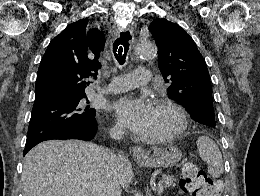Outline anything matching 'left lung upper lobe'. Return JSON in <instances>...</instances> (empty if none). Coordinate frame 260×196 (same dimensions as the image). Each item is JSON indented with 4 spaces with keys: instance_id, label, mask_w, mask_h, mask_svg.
<instances>
[{
    "instance_id": "5c2ea615",
    "label": "left lung upper lobe",
    "mask_w": 260,
    "mask_h": 196,
    "mask_svg": "<svg viewBox=\"0 0 260 196\" xmlns=\"http://www.w3.org/2000/svg\"><path fill=\"white\" fill-rule=\"evenodd\" d=\"M149 30L158 46L159 68L168 83V97L190 113L198 106L213 107L212 87L204 58L179 25L155 19ZM208 127L217 129L216 121Z\"/></svg>"
}]
</instances>
